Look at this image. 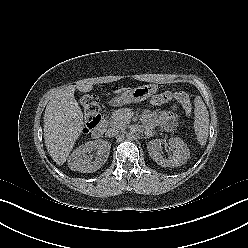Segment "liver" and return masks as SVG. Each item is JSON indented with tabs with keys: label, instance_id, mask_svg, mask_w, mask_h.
Masks as SVG:
<instances>
[{
	"label": "liver",
	"instance_id": "6515ba94",
	"mask_svg": "<svg viewBox=\"0 0 248 248\" xmlns=\"http://www.w3.org/2000/svg\"><path fill=\"white\" fill-rule=\"evenodd\" d=\"M75 87L81 92L92 90V85L84 82L68 86L58 91L45 109V146L58 165L66 162L84 127L83 113L74 97Z\"/></svg>",
	"mask_w": 248,
	"mask_h": 248
}]
</instances>
